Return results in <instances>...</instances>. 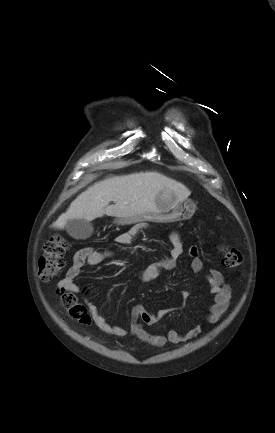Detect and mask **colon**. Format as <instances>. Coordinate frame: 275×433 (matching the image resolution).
<instances>
[{
    "mask_svg": "<svg viewBox=\"0 0 275 433\" xmlns=\"http://www.w3.org/2000/svg\"><path fill=\"white\" fill-rule=\"evenodd\" d=\"M67 241L60 234H54L44 244V254L39 260V275L42 278H50L58 275L64 266V255L67 250ZM221 261L224 266L235 268L242 264L243 256L241 252L235 248L223 246L221 248ZM60 300L62 308L73 319L83 325L90 323L84 306L78 303L74 294L61 289Z\"/></svg>",
    "mask_w": 275,
    "mask_h": 433,
    "instance_id": "1",
    "label": "colon"
}]
</instances>
